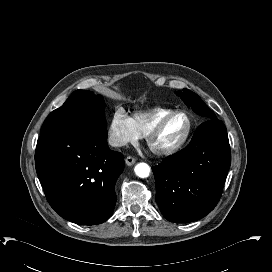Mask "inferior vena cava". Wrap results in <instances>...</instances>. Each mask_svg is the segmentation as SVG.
Returning <instances> with one entry per match:
<instances>
[{
  "instance_id": "602c4592",
  "label": "inferior vena cava",
  "mask_w": 272,
  "mask_h": 272,
  "mask_svg": "<svg viewBox=\"0 0 272 272\" xmlns=\"http://www.w3.org/2000/svg\"><path fill=\"white\" fill-rule=\"evenodd\" d=\"M108 143L113 147H122L126 144L123 138L116 135H110L108 138Z\"/></svg>"
}]
</instances>
